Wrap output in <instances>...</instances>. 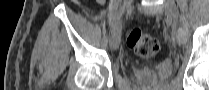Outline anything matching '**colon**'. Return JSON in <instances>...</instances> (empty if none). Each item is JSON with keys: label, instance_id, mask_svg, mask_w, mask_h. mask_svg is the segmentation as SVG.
<instances>
[{"label": "colon", "instance_id": "obj_1", "mask_svg": "<svg viewBox=\"0 0 209 90\" xmlns=\"http://www.w3.org/2000/svg\"><path fill=\"white\" fill-rule=\"evenodd\" d=\"M126 43L138 56L143 58H153L160 50L158 40L138 28H131L127 31Z\"/></svg>", "mask_w": 209, "mask_h": 90}]
</instances>
